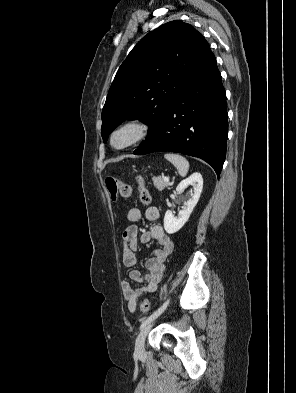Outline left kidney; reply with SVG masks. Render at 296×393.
I'll use <instances>...</instances> for the list:
<instances>
[{
  "label": "left kidney",
  "mask_w": 296,
  "mask_h": 393,
  "mask_svg": "<svg viewBox=\"0 0 296 393\" xmlns=\"http://www.w3.org/2000/svg\"><path fill=\"white\" fill-rule=\"evenodd\" d=\"M189 186L193 187V194H191V197L184 202L182 210L178 213V217L173 216L170 210L165 213L164 229L168 234H173L179 231L188 221L190 214L196 206L203 189V178L200 173L195 172L187 179L181 181L177 186L176 191L178 193H182L184 189Z\"/></svg>",
  "instance_id": "1"
}]
</instances>
